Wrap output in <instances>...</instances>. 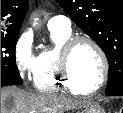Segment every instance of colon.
I'll return each mask as SVG.
<instances>
[{
	"label": "colon",
	"mask_w": 123,
	"mask_h": 113,
	"mask_svg": "<svg viewBox=\"0 0 123 113\" xmlns=\"http://www.w3.org/2000/svg\"><path fill=\"white\" fill-rule=\"evenodd\" d=\"M120 113H123V107H121V109H120Z\"/></svg>",
	"instance_id": "colon-1"
}]
</instances>
